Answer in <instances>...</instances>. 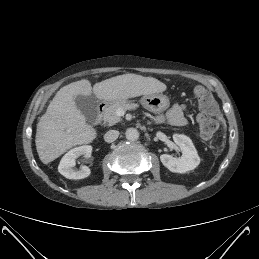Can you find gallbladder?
<instances>
[{"mask_svg": "<svg viewBox=\"0 0 259 259\" xmlns=\"http://www.w3.org/2000/svg\"><path fill=\"white\" fill-rule=\"evenodd\" d=\"M77 108L82 112L87 121L93 122L97 117L98 100L95 96L78 95L74 97Z\"/></svg>", "mask_w": 259, "mask_h": 259, "instance_id": "obj_1", "label": "gallbladder"}]
</instances>
